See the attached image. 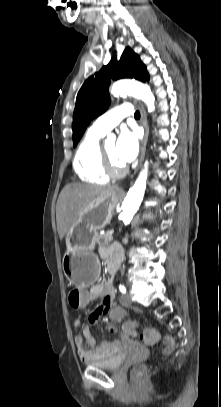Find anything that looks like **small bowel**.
<instances>
[{
  "instance_id": "obj_1",
  "label": "small bowel",
  "mask_w": 221,
  "mask_h": 407,
  "mask_svg": "<svg viewBox=\"0 0 221 407\" xmlns=\"http://www.w3.org/2000/svg\"><path fill=\"white\" fill-rule=\"evenodd\" d=\"M116 247L112 248H102L100 250V255L104 259H108L112 253L116 250ZM89 287V294L87 298L89 302L99 297H102L100 305L96 310L90 315V322L96 323L101 315L107 314L109 309H112L114 305H118L115 302V292L113 286V280L100 281L87 285ZM125 311V310H124ZM111 320V318H109ZM112 321V320H111ZM75 328H86L83 325V320L81 318L74 321ZM107 330L110 333H116V328L113 325H108ZM130 330H124V332H129ZM75 346L79 357L83 361L99 360L110 356L119 346V342L114 343H101L97 344L89 336L83 337L77 335L74 338Z\"/></svg>"
}]
</instances>
